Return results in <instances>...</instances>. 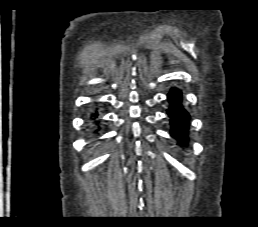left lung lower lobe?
Returning <instances> with one entry per match:
<instances>
[{
	"label": "left lung lower lobe",
	"instance_id": "left-lung-lower-lobe-1",
	"mask_svg": "<svg viewBox=\"0 0 258 227\" xmlns=\"http://www.w3.org/2000/svg\"><path fill=\"white\" fill-rule=\"evenodd\" d=\"M169 108L167 114L171 125L170 134L178 145H187L190 115L182 105V92L172 88L168 93Z\"/></svg>",
	"mask_w": 258,
	"mask_h": 227
}]
</instances>
